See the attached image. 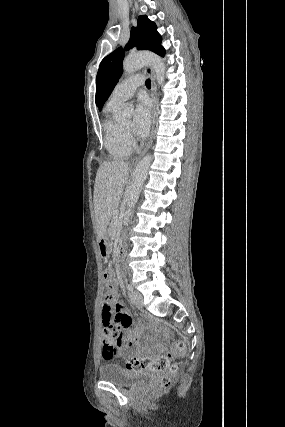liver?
<instances>
[{
  "instance_id": "6515ba94",
  "label": "liver",
  "mask_w": 285,
  "mask_h": 427,
  "mask_svg": "<svg viewBox=\"0 0 285 427\" xmlns=\"http://www.w3.org/2000/svg\"><path fill=\"white\" fill-rule=\"evenodd\" d=\"M128 176L127 162H104L98 168L93 199L98 237L105 234L107 225L119 206Z\"/></svg>"
}]
</instances>
